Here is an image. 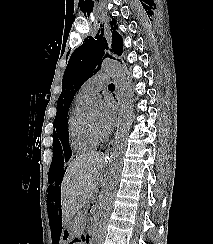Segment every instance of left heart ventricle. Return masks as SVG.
Instances as JSON below:
<instances>
[{
  "label": "left heart ventricle",
  "instance_id": "1",
  "mask_svg": "<svg viewBox=\"0 0 213 244\" xmlns=\"http://www.w3.org/2000/svg\"><path fill=\"white\" fill-rule=\"evenodd\" d=\"M89 119L97 128L103 131L101 127V119H102L101 113L94 114L91 117H89Z\"/></svg>",
  "mask_w": 213,
  "mask_h": 244
}]
</instances>
